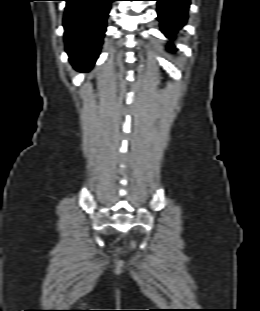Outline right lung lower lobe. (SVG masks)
I'll return each instance as SVG.
<instances>
[{
	"mask_svg": "<svg viewBox=\"0 0 260 311\" xmlns=\"http://www.w3.org/2000/svg\"><path fill=\"white\" fill-rule=\"evenodd\" d=\"M65 46L71 63L90 69L100 52L113 0H65Z\"/></svg>",
	"mask_w": 260,
	"mask_h": 311,
	"instance_id": "98d812e1",
	"label": "right lung lower lobe"
}]
</instances>
